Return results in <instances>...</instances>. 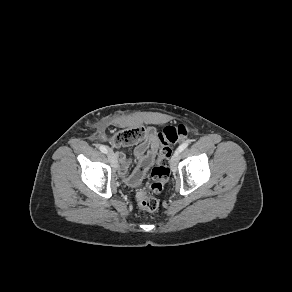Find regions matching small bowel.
<instances>
[{"label": "small bowel", "instance_id": "small-bowel-1", "mask_svg": "<svg viewBox=\"0 0 292 292\" xmlns=\"http://www.w3.org/2000/svg\"><path fill=\"white\" fill-rule=\"evenodd\" d=\"M159 146L160 141L156 130L152 127L148 128L143 140L133 149V156L138 160V162L130 175V179L140 182L144 178L147 171L155 162ZM115 156L117 158L121 174L123 176H128V168L132 162L131 158H128L122 150H118Z\"/></svg>", "mask_w": 292, "mask_h": 292}]
</instances>
